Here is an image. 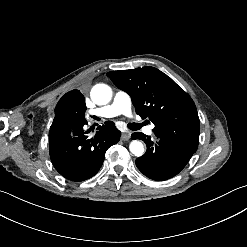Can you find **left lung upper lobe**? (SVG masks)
<instances>
[{"label": "left lung upper lobe", "instance_id": "5c2ea615", "mask_svg": "<svg viewBox=\"0 0 247 247\" xmlns=\"http://www.w3.org/2000/svg\"><path fill=\"white\" fill-rule=\"evenodd\" d=\"M107 76L131 96L138 115L150 118L158 138L196 152L200 132L196 106L171 78L149 66L112 71Z\"/></svg>", "mask_w": 247, "mask_h": 247}]
</instances>
